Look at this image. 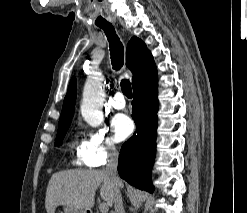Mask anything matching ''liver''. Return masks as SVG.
I'll list each match as a JSON object with an SVG mask.
<instances>
[{
    "label": "liver",
    "mask_w": 247,
    "mask_h": 213,
    "mask_svg": "<svg viewBox=\"0 0 247 213\" xmlns=\"http://www.w3.org/2000/svg\"><path fill=\"white\" fill-rule=\"evenodd\" d=\"M109 206L114 203V182L105 170H65L53 174L49 180L45 208L54 213L57 206L64 205L84 210L93 207L95 192Z\"/></svg>",
    "instance_id": "6515ba94"
}]
</instances>
